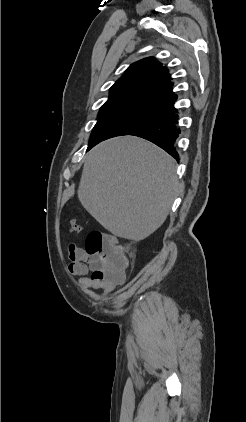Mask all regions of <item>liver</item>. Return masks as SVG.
Here are the masks:
<instances>
[{"label": "liver", "mask_w": 246, "mask_h": 422, "mask_svg": "<svg viewBox=\"0 0 246 422\" xmlns=\"http://www.w3.org/2000/svg\"><path fill=\"white\" fill-rule=\"evenodd\" d=\"M179 189L170 155L149 141L123 136L89 151L77 193L105 229L141 241L165 222Z\"/></svg>", "instance_id": "liver-1"}]
</instances>
